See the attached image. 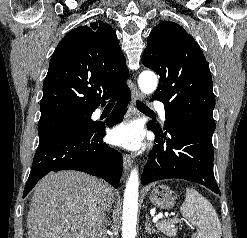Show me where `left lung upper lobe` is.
Wrapping results in <instances>:
<instances>
[{
    "label": "left lung upper lobe",
    "mask_w": 247,
    "mask_h": 238,
    "mask_svg": "<svg viewBox=\"0 0 247 238\" xmlns=\"http://www.w3.org/2000/svg\"><path fill=\"white\" fill-rule=\"evenodd\" d=\"M142 63L160 77L152 99L165 104L163 129H167L171 120H182L213 134L215 97L212 77L194 38L176 23L160 22L149 35ZM153 126L161 129L157 124Z\"/></svg>",
    "instance_id": "left-lung-upper-lobe-1"
}]
</instances>
